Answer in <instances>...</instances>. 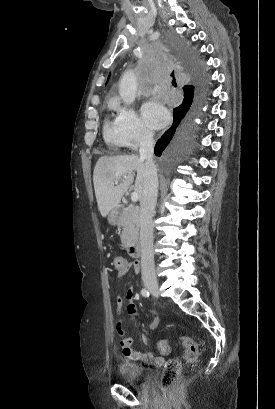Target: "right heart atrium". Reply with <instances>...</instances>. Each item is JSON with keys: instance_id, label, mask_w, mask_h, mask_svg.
Here are the masks:
<instances>
[{"instance_id": "d8ad5b80", "label": "right heart atrium", "mask_w": 275, "mask_h": 409, "mask_svg": "<svg viewBox=\"0 0 275 409\" xmlns=\"http://www.w3.org/2000/svg\"><path fill=\"white\" fill-rule=\"evenodd\" d=\"M116 123L128 152L134 153L154 136L150 124L133 109L119 108Z\"/></svg>"}]
</instances>
